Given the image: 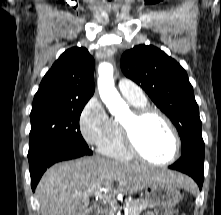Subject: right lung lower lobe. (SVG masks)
I'll return each mask as SVG.
<instances>
[{
  "label": "right lung lower lobe",
  "instance_id": "1",
  "mask_svg": "<svg viewBox=\"0 0 221 215\" xmlns=\"http://www.w3.org/2000/svg\"><path fill=\"white\" fill-rule=\"evenodd\" d=\"M92 153L87 145L57 144L49 146L35 156L28 158L32 190H35L41 176L51 165Z\"/></svg>",
  "mask_w": 221,
  "mask_h": 215
}]
</instances>
